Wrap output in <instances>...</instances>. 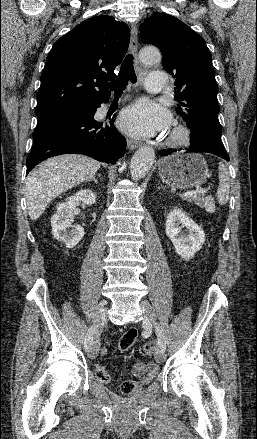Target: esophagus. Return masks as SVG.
<instances>
[{"mask_svg":"<svg viewBox=\"0 0 257 439\" xmlns=\"http://www.w3.org/2000/svg\"><path fill=\"white\" fill-rule=\"evenodd\" d=\"M132 28H133V32L131 33V37H130V50L133 53V55L135 56V58H137L138 38H137V33H136V26L133 25ZM140 146H141V142H139L137 140H132V139L127 140V147L130 150H134Z\"/></svg>","mask_w":257,"mask_h":439,"instance_id":"esophagus-1","label":"esophagus"}]
</instances>
